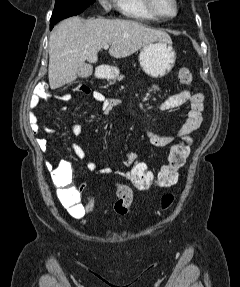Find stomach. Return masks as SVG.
Returning a JSON list of instances; mask_svg holds the SVG:
<instances>
[{
    "mask_svg": "<svg viewBox=\"0 0 240 287\" xmlns=\"http://www.w3.org/2000/svg\"><path fill=\"white\" fill-rule=\"evenodd\" d=\"M176 53L172 42L155 41L146 44L140 51L139 63L143 71L153 78L167 75L175 65ZM114 76L118 74L117 68H112Z\"/></svg>",
    "mask_w": 240,
    "mask_h": 287,
    "instance_id": "obj_1",
    "label": "stomach"
}]
</instances>
